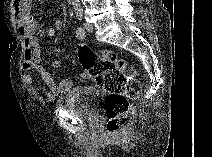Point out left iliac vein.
Segmentation results:
<instances>
[{"label":"left iliac vein","instance_id":"1","mask_svg":"<svg viewBox=\"0 0 212 157\" xmlns=\"http://www.w3.org/2000/svg\"><path fill=\"white\" fill-rule=\"evenodd\" d=\"M84 28L87 30V31H89V32H91V31H93V29H94V26L91 24V23H85L84 24Z\"/></svg>","mask_w":212,"mask_h":157}]
</instances>
